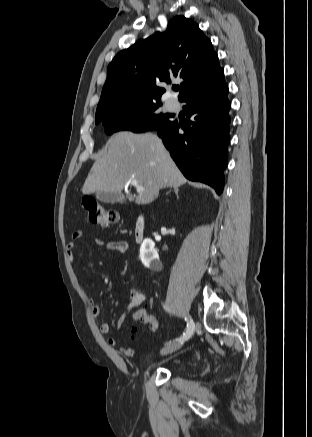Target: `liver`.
I'll use <instances>...</instances> for the list:
<instances>
[{
	"instance_id": "liver-1",
	"label": "liver",
	"mask_w": 312,
	"mask_h": 437,
	"mask_svg": "<svg viewBox=\"0 0 312 437\" xmlns=\"http://www.w3.org/2000/svg\"><path fill=\"white\" fill-rule=\"evenodd\" d=\"M132 180L144 188L137 190L136 204H149L159 190L187 182L157 135L119 132L109 139L108 152L93 164L82 192L121 194Z\"/></svg>"
}]
</instances>
